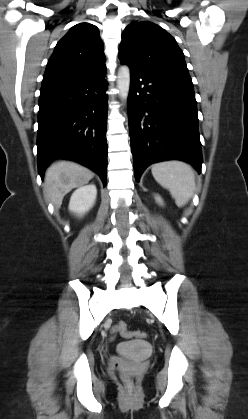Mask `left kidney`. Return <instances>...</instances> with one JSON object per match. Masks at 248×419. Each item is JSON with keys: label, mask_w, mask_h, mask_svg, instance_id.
<instances>
[{"label": "left kidney", "mask_w": 248, "mask_h": 419, "mask_svg": "<svg viewBox=\"0 0 248 419\" xmlns=\"http://www.w3.org/2000/svg\"><path fill=\"white\" fill-rule=\"evenodd\" d=\"M156 198V201L159 203V204H163V201H162V199H161V197L160 196H156L155 197Z\"/></svg>", "instance_id": "5707ae66"}]
</instances>
